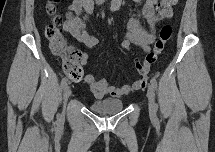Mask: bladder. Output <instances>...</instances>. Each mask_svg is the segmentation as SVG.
I'll use <instances>...</instances> for the list:
<instances>
[{"mask_svg":"<svg viewBox=\"0 0 215 152\" xmlns=\"http://www.w3.org/2000/svg\"><path fill=\"white\" fill-rule=\"evenodd\" d=\"M125 103L121 100L104 98L100 100L93 101L91 104V109L95 113L101 115H109L118 113L123 110Z\"/></svg>","mask_w":215,"mask_h":152,"instance_id":"obj_1","label":"bladder"}]
</instances>
